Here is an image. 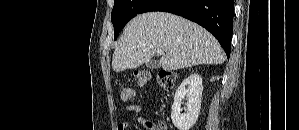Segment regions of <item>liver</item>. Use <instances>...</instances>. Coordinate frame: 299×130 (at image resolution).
<instances>
[{
  "instance_id": "liver-1",
  "label": "liver",
  "mask_w": 299,
  "mask_h": 130,
  "mask_svg": "<svg viewBox=\"0 0 299 130\" xmlns=\"http://www.w3.org/2000/svg\"><path fill=\"white\" fill-rule=\"evenodd\" d=\"M160 49L166 52L159 62L164 70L225 61L218 41L198 24L166 12H148L125 26L113 54V70L137 68Z\"/></svg>"
}]
</instances>
